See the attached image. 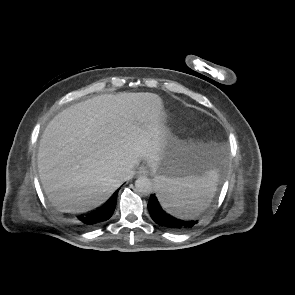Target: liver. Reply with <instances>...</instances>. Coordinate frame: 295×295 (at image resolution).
I'll return each instance as SVG.
<instances>
[{"label":"liver","instance_id":"1","mask_svg":"<svg viewBox=\"0 0 295 295\" xmlns=\"http://www.w3.org/2000/svg\"><path fill=\"white\" fill-rule=\"evenodd\" d=\"M154 93L102 94L72 105L45 128L38 172L50 202L82 213L104 203L142 159L154 168L171 135Z\"/></svg>","mask_w":295,"mask_h":295}]
</instances>
